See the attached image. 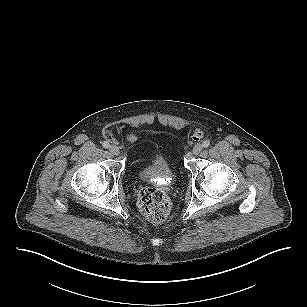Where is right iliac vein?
<instances>
[{"label": "right iliac vein", "instance_id": "1", "mask_svg": "<svg viewBox=\"0 0 307 307\" xmlns=\"http://www.w3.org/2000/svg\"><path fill=\"white\" fill-rule=\"evenodd\" d=\"M109 152H110L112 155H115V156L119 155V149H118V147L115 146V145H111V146L109 147Z\"/></svg>", "mask_w": 307, "mask_h": 307}]
</instances>
